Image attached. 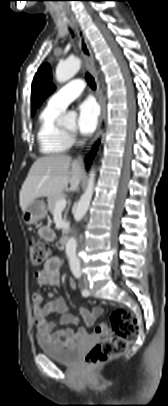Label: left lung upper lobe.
Returning a JSON list of instances; mask_svg holds the SVG:
<instances>
[{
    "label": "left lung upper lobe",
    "instance_id": "5c2ea615",
    "mask_svg": "<svg viewBox=\"0 0 168 406\" xmlns=\"http://www.w3.org/2000/svg\"><path fill=\"white\" fill-rule=\"evenodd\" d=\"M55 90L51 82V69L48 64H43L36 73L32 83V115L42 101Z\"/></svg>",
    "mask_w": 168,
    "mask_h": 406
}]
</instances>
